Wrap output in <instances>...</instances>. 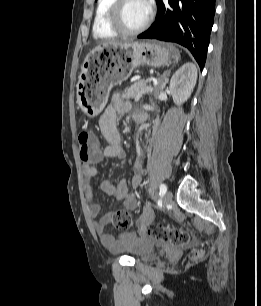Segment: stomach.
<instances>
[{"label": "stomach", "instance_id": "1", "mask_svg": "<svg viewBox=\"0 0 261 306\" xmlns=\"http://www.w3.org/2000/svg\"><path fill=\"white\" fill-rule=\"evenodd\" d=\"M169 61V50L156 41H133L94 48L86 56L79 77V107L88 116L99 114L112 87L126 81L135 68L141 65L160 67Z\"/></svg>", "mask_w": 261, "mask_h": 306}]
</instances>
